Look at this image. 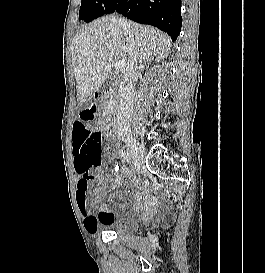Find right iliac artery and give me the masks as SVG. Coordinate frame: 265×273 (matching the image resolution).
<instances>
[{"label": "right iliac artery", "mask_w": 265, "mask_h": 273, "mask_svg": "<svg viewBox=\"0 0 265 273\" xmlns=\"http://www.w3.org/2000/svg\"><path fill=\"white\" fill-rule=\"evenodd\" d=\"M121 156L127 161L131 160L132 158L131 154L127 150L122 151Z\"/></svg>", "instance_id": "1"}]
</instances>
